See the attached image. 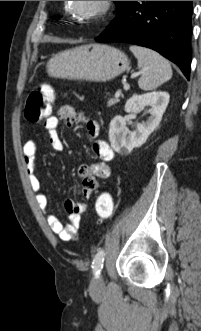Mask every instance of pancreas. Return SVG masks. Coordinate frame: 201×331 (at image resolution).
<instances>
[{"mask_svg":"<svg viewBox=\"0 0 201 331\" xmlns=\"http://www.w3.org/2000/svg\"><path fill=\"white\" fill-rule=\"evenodd\" d=\"M119 101H120V100H119L118 96H115L114 98H110V99L108 100L107 105H108V106H112V105L118 103Z\"/></svg>","mask_w":201,"mask_h":331,"instance_id":"cf45deb5","label":"pancreas"}]
</instances>
